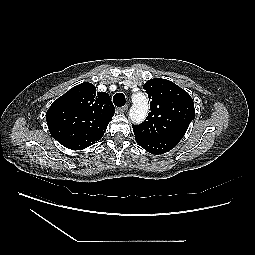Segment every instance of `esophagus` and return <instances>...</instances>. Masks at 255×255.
I'll list each match as a JSON object with an SVG mask.
<instances>
[{
    "mask_svg": "<svg viewBox=\"0 0 255 255\" xmlns=\"http://www.w3.org/2000/svg\"><path fill=\"white\" fill-rule=\"evenodd\" d=\"M127 109H128V106L125 105V106H123V107L117 108V112H119V113H125V112L127 111Z\"/></svg>",
    "mask_w": 255,
    "mask_h": 255,
    "instance_id": "34e87169",
    "label": "esophagus"
}]
</instances>
